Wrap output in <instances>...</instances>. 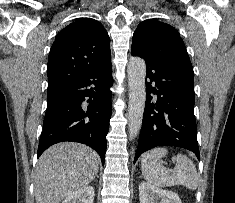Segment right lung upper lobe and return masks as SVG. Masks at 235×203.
Returning <instances> with one entry per match:
<instances>
[{
  "instance_id": "obj_1",
  "label": "right lung upper lobe",
  "mask_w": 235,
  "mask_h": 203,
  "mask_svg": "<svg viewBox=\"0 0 235 203\" xmlns=\"http://www.w3.org/2000/svg\"><path fill=\"white\" fill-rule=\"evenodd\" d=\"M110 61V38L103 25L81 18L56 36L48 57V87H59Z\"/></svg>"
}]
</instances>
